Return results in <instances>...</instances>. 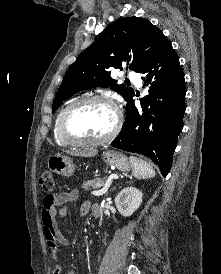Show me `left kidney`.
Segmentation results:
<instances>
[{
	"instance_id": "left-kidney-1",
	"label": "left kidney",
	"mask_w": 221,
	"mask_h": 274,
	"mask_svg": "<svg viewBox=\"0 0 221 274\" xmlns=\"http://www.w3.org/2000/svg\"><path fill=\"white\" fill-rule=\"evenodd\" d=\"M142 192L135 187L124 188L115 198V204L121 215L131 216L141 205Z\"/></svg>"
}]
</instances>
